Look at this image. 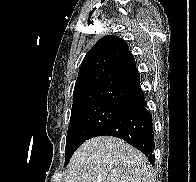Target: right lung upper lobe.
<instances>
[{"label":"right lung upper lobe","instance_id":"right-lung-upper-lobe-1","mask_svg":"<svg viewBox=\"0 0 196 182\" xmlns=\"http://www.w3.org/2000/svg\"><path fill=\"white\" fill-rule=\"evenodd\" d=\"M142 97L140 76L128 45L117 36H104L83 59L72 109L98 101L134 107Z\"/></svg>","mask_w":196,"mask_h":182}]
</instances>
